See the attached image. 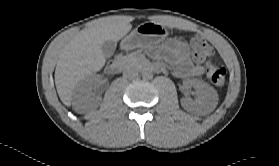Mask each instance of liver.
Masks as SVG:
<instances>
[{
	"label": "liver",
	"mask_w": 279,
	"mask_h": 166,
	"mask_svg": "<svg viewBox=\"0 0 279 166\" xmlns=\"http://www.w3.org/2000/svg\"><path fill=\"white\" fill-rule=\"evenodd\" d=\"M131 28L124 16L102 18L90 28L81 30L62 48L55 69V84L66 106L71 105L72 93L78 82L105 65L101 45L108 40L119 41Z\"/></svg>",
	"instance_id": "obj_1"
}]
</instances>
